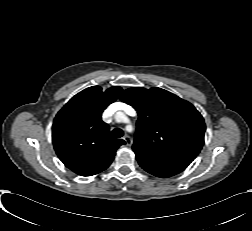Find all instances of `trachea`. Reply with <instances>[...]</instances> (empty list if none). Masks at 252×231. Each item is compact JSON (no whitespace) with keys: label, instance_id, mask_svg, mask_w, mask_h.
Segmentation results:
<instances>
[{"label":"trachea","instance_id":"1","mask_svg":"<svg viewBox=\"0 0 252 231\" xmlns=\"http://www.w3.org/2000/svg\"><path fill=\"white\" fill-rule=\"evenodd\" d=\"M124 135V132L123 130L119 129V128H115L113 129L112 131V136L115 137V138H120Z\"/></svg>","mask_w":252,"mask_h":231}]
</instances>
